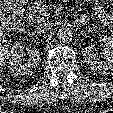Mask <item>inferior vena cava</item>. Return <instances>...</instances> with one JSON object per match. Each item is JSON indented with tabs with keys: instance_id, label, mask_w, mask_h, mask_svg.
I'll list each match as a JSON object with an SVG mask.
<instances>
[{
	"instance_id": "1",
	"label": "inferior vena cava",
	"mask_w": 113,
	"mask_h": 113,
	"mask_svg": "<svg viewBox=\"0 0 113 113\" xmlns=\"http://www.w3.org/2000/svg\"><path fill=\"white\" fill-rule=\"evenodd\" d=\"M52 29V23H42L35 28V32L39 34L48 33Z\"/></svg>"
}]
</instances>
